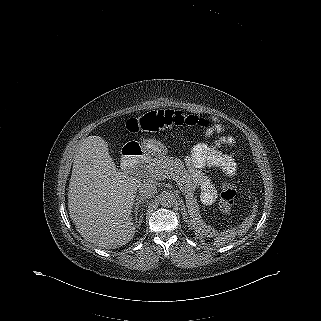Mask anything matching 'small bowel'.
Segmentation results:
<instances>
[{
    "label": "small bowel",
    "mask_w": 321,
    "mask_h": 321,
    "mask_svg": "<svg viewBox=\"0 0 321 321\" xmlns=\"http://www.w3.org/2000/svg\"><path fill=\"white\" fill-rule=\"evenodd\" d=\"M220 130V128H217ZM215 130H210L209 133H213ZM226 139H222L224 142ZM195 151L204 156L205 162L208 166L220 168L227 176L232 177L235 174V164L234 162L225 155H222L217 148H207L204 145H198ZM204 203H211L213 199L211 197L204 196Z\"/></svg>",
    "instance_id": "small-bowel-1"
}]
</instances>
